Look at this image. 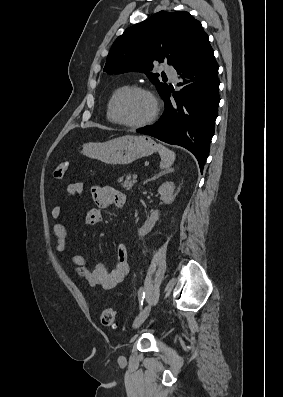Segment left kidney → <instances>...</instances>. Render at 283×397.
I'll return each mask as SVG.
<instances>
[{"mask_svg": "<svg viewBox=\"0 0 283 397\" xmlns=\"http://www.w3.org/2000/svg\"><path fill=\"white\" fill-rule=\"evenodd\" d=\"M175 185L171 181L164 182L158 189V192L160 194L161 200L165 204H171L174 199H175V193H174ZM160 212L158 210H155L152 212L148 220L145 222V224L142 226V228L139 229L138 235L140 237H143L147 235L155 226L157 220L159 219Z\"/></svg>", "mask_w": 283, "mask_h": 397, "instance_id": "obj_1", "label": "left kidney"}]
</instances>
